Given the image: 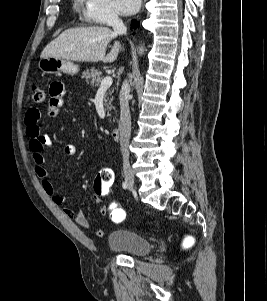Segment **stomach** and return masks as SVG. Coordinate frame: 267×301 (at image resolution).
Returning a JSON list of instances; mask_svg holds the SVG:
<instances>
[{
	"label": "stomach",
	"instance_id": "stomach-1",
	"mask_svg": "<svg viewBox=\"0 0 267 301\" xmlns=\"http://www.w3.org/2000/svg\"><path fill=\"white\" fill-rule=\"evenodd\" d=\"M38 66L44 73L49 74L65 73L76 75L79 72V67L73 62L54 57L42 58Z\"/></svg>",
	"mask_w": 267,
	"mask_h": 301
}]
</instances>
